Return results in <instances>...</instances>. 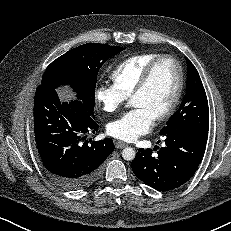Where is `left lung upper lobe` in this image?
Listing matches in <instances>:
<instances>
[{"label":"left lung upper lobe","mask_w":231,"mask_h":231,"mask_svg":"<svg viewBox=\"0 0 231 231\" xmlns=\"http://www.w3.org/2000/svg\"><path fill=\"white\" fill-rule=\"evenodd\" d=\"M187 62V92L180 108L169 119L160 134L178 130L195 129L208 131L209 107L202 81L192 62L185 57Z\"/></svg>","instance_id":"1"}]
</instances>
